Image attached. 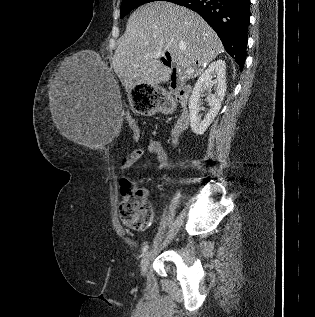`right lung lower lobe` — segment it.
<instances>
[{
  "mask_svg": "<svg viewBox=\"0 0 315 317\" xmlns=\"http://www.w3.org/2000/svg\"><path fill=\"white\" fill-rule=\"evenodd\" d=\"M173 3L200 14L218 34L225 50L243 69L247 54L250 0H176Z\"/></svg>",
  "mask_w": 315,
  "mask_h": 317,
  "instance_id": "obj_1",
  "label": "right lung lower lobe"
}]
</instances>
